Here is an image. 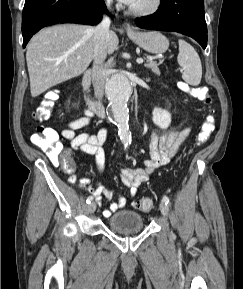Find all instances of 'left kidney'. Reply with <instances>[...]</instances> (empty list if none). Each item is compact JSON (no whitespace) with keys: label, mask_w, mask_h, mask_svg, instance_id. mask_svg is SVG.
<instances>
[{"label":"left kidney","mask_w":243,"mask_h":289,"mask_svg":"<svg viewBox=\"0 0 243 289\" xmlns=\"http://www.w3.org/2000/svg\"><path fill=\"white\" fill-rule=\"evenodd\" d=\"M153 122L161 129H167L171 123V114L164 109L154 108L153 110Z\"/></svg>","instance_id":"obj_1"}]
</instances>
